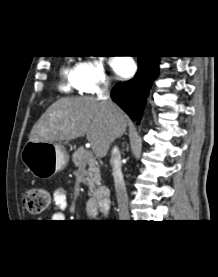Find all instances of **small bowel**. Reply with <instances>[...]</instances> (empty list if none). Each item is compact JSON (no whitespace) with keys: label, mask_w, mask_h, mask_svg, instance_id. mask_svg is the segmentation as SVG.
Segmentation results:
<instances>
[{"label":"small bowel","mask_w":218,"mask_h":277,"mask_svg":"<svg viewBox=\"0 0 218 277\" xmlns=\"http://www.w3.org/2000/svg\"><path fill=\"white\" fill-rule=\"evenodd\" d=\"M53 204L55 208V212L52 215L53 220H63L65 219V215L62 212L68 206V196L67 192L63 188H57L53 193ZM86 208L91 215L97 214V205L94 201L90 200L86 204Z\"/></svg>","instance_id":"small-bowel-1"}]
</instances>
